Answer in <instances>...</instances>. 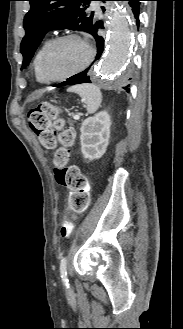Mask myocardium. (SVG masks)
I'll return each mask as SVG.
<instances>
[{
  "label": "myocardium",
  "instance_id": "f54148a6",
  "mask_svg": "<svg viewBox=\"0 0 183 329\" xmlns=\"http://www.w3.org/2000/svg\"><path fill=\"white\" fill-rule=\"evenodd\" d=\"M69 39H77V40L82 41L88 49V57H87L85 63L78 69H76L72 72L66 73L64 75H61V76H51L48 73L47 66H46L48 56L55 46H57L59 43L65 41V40H69ZM94 57H95V50L92 47V45L85 38H83L77 34H64V35H61V36L53 39L52 41H50L48 46L45 48L42 58H41V71L47 81L56 82V81L66 80L68 78H71V77L83 72L91 64Z\"/></svg>",
  "mask_w": 183,
  "mask_h": 329
}]
</instances>
